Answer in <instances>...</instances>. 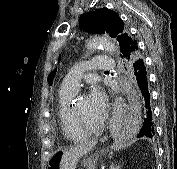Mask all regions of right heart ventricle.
I'll list each match as a JSON object with an SVG mask.
<instances>
[{"label":"right heart ventricle","instance_id":"right-heart-ventricle-1","mask_svg":"<svg viewBox=\"0 0 177 169\" xmlns=\"http://www.w3.org/2000/svg\"><path fill=\"white\" fill-rule=\"evenodd\" d=\"M76 94L77 91L60 89L57 107L61 132L67 140L74 142L81 141L88 136L78 129L74 120L71 103Z\"/></svg>","mask_w":177,"mask_h":169}]
</instances>
